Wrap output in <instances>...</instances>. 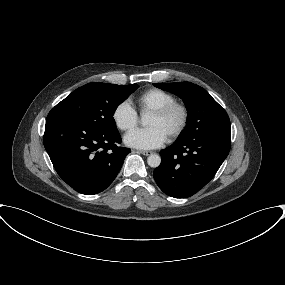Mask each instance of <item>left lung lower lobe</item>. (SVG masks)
<instances>
[{
    "label": "left lung lower lobe",
    "mask_w": 285,
    "mask_h": 285,
    "mask_svg": "<svg viewBox=\"0 0 285 285\" xmlns=\"http://www.w3.org/2000/svg\"><path fill=\"white\" fill-rule=\"evenodd\" d=\"M231 136L201 135L177 140L162 150L161 164L153 176L159 188L175 198H186L202 189L227 157Z\"/></svg>",
    "instance_id": "1"
}]
</instances>
